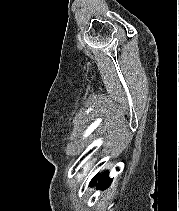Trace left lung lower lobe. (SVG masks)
<instances>
[{"instance_id": "left-lung-lower-lobe-1", "label": "left lung lower lobe", "mask_w": 179, "mask_h": 211, "mask_svg": "<svg viewBox=\"0 0 179 211\" xmlns=\"http://www.w3.org/2000/svg\"><path fill=\"white\" fill-rule=\"evenodd\" d=\"M98 180V183H96V181ZM111 179L109 178L108 176V173L105 172L103 175L101 176H95L91 182H90V185L91 186H94L97 184V188H101V189H104V188H107L110 183H111Z\"/></svg>"}]
</instances>
